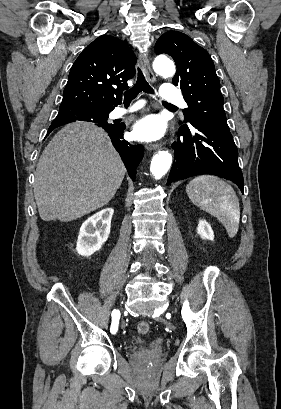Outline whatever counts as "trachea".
<instances>
[{"label":"trachea","instance_id":"3493384b","mask_svg":"<svg viewBox=\"0 0 281 409\" xmlns=\"http://www.w3.org/2000/svg\"><path fill=\"white\" fill-rule=\"evenodd\" d=\"M140 92L154 94L153 88L150 87L149 83L144 77L142 70L139 69L138 67L137 81L135 85H133V87H131L126 92H124V103L132 102V100H134ZM162 103L167 104V105H172V104H168V102H162Z\"/></svg>","mask_w":281,"mask_h":409}]
</instances>
